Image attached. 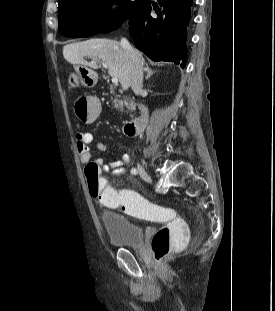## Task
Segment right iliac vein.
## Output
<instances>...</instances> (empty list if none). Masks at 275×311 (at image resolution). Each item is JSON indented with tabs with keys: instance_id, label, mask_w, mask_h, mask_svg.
Masks as SVG:
<instances>
[{
	"instance_id": "right-iliac-vein-1",
	"label": "right iliac vein",
	"mask_w": 275,
	"mask_h": 311,
	"mask_svg": "<svg viewBox=\"0 0 275 311\" xmlns=\"http://www.w3.org/2000/svg\"><path fill=\"white\" fill-rule=\"evenodd\" d=\"M137 170H138V174L139 176L146 182H152L151 176L147 173V171L144 169L143 166H141L140 164L137 165Z\"/></svg>"
}]
</instances>
